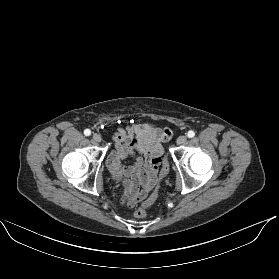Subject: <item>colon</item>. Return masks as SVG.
Returning <instances> with one entry per match:
<instances>
[{
    "label": "colon",
    "instance_id": "obj_1",
    "mask_svg": "<svg viewBox=\"0 0 279 279\" xmlns=\"http://www.w3.org/2000/svg\"><path fill=\"white\" fill-rule=\"evenodd\" d=\"M168 170H169L168 162L164 161L161 170V178L166 176ZM157 195H158V190H155V192L147 200H145L140 207H138L135 210V216L138 218H144L147 215L146 209L154 203V201L157 198Z\"/></svg>",
    "mask_w": 279,
    "mask_h": 279
}]
</instances>
